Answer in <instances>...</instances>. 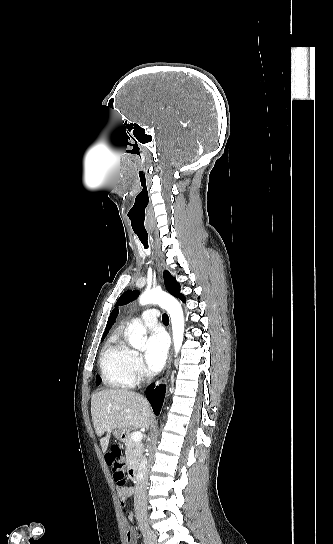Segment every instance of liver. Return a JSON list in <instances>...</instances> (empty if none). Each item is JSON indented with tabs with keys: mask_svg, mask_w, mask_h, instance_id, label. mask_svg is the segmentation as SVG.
Instances as JSON below:
<instances>
[{
	"mask_svg": "<svg viewBox=\"0 0 333 544\" xmlns=\"http://www.w3.org/2000/svg\"><path fill=\"white\" fill-rule=\"evenodd\" d=\"M91 415L97 435L100 437L107 432V435L100 439L103 453L107 451L113 429L148 428L153 421V414L146 399L135 392L123 389H106L93 394Z\"/></svg>",
	"mask_w": 333,
	"mask_h": 544,
	"instance_id": "liver-1",
	"label": "liver"
}]
</instances>
